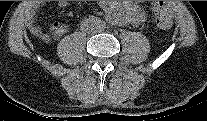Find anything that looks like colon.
Instances as JSON below:
<instances>
[{
	"label": "colon",
	"instance_id": "colon-1",
	"mask_svg": "<svg viewBox=\"0 0 207 121\" xmlns=\"http://www.w3.org/2000/svg\"><path fill=\"white\" fill-rule=\"evenodd\" d=\"M152 17L154 23L162 29H169L172 26L171 11L166 2L157 1L153 3Z\"/></svg>",
	"mask_w": 207,
	"mask_h": 121
}]
</instances>
